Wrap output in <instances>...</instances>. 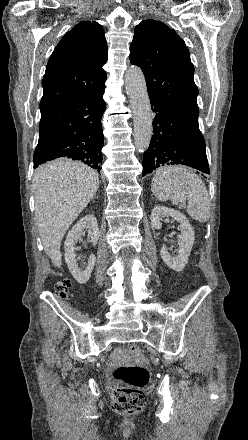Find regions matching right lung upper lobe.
I'll return each mask as SVG.
<instances>
[{
    "instance_id": "1",
    "label": "right lung upper lobe",
    "mask_w": 248,
    "mask_h": 440,
    "mask_svg": "<svg viewBox=\"0 0 248 440\" xmlns=\"http://www.w3.org/2000/svg\"><path fill=\"white\" fill-rule=\"evenodd\" d=\"M107 51L104 30L95 21H82L67 32L47 64L40 110L104 90Z\"/></svg>"
}]
</instances>
